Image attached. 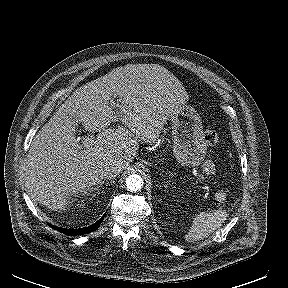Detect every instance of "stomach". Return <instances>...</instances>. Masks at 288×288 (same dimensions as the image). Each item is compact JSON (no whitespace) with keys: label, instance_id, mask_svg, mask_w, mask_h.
I'll return each instance as SVG.
<instances>
[{"label":"stomach","instance_id":"1","mask_svg":"<svg viewBox=\"0 0 288 288\" xmlns=\"http://www.w3.org/2000/svg\"><path fill=\"white\" fill-rule=\"evenodd\" d=\"M170 118L176 161L183 167L199 166L207 154L201 117L193 107L181 103Z\"/></svg>","mask_w":288,"mask_h":288}]
</instances>
